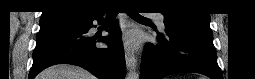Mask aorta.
<instances>
[{"label": "aorta", "instance_id": "aorta-1", "mask_svg": "<svg viewBox=\"0 0 255 79\" xmlns=\"http://www.w3.org/2000/svg\"><path fill=\"white\" fill-rule=\"evenodd\" d=\"M127 79H139V74L138 72H135V71H130L128 74H127Z\"/></svg>", "mask_w": 255, "mask_h": 79}]
</instances>
